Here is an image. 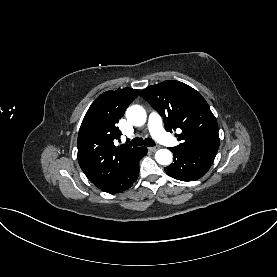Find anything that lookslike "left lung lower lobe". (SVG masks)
<instances>
[{
  "label": "left lung lower lobe",
  "mask_w": 277,
  "mask_h": 277,
  "mask_svg": "<svg viewBox=\"0 0 277 277\" xmlns=\"http://www.w3.org/2000/svg\"><path fill=\"white\" fill-rule=\"evenodd\" d=\"M174 163L165 167L166 173L181 181H194L201 178L211 167L218 149L171 148Z\"/></svg>",
  "instance_id": "obj_1"
}]
</instances>
